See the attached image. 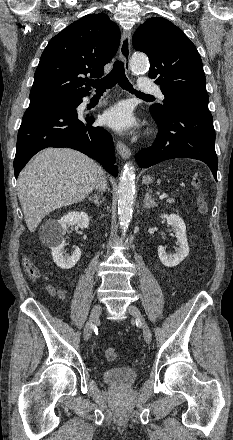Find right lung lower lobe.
I'll return each instance as SVG.
<instances>
[{"label":"right lung lower lobe","instance_id":"right-lung-lower-lobe-1","mask_svg":"<svg viewBox=\"0 0 233 440\" xmlns=\"http://www.w3.org/2000/svg\"><path fill=\"white\" fill-rule=\"evenodd\" d=\"M81 102L82 98L73 103L54 100L29 105L17 137L16 178L31 157L47 147H69L81 151L117 176L112 137L103 128L91 126L93 117L77 114L76 108Z\"/></svg>","mask_w":233,"mask_h":440}]
</instances>
